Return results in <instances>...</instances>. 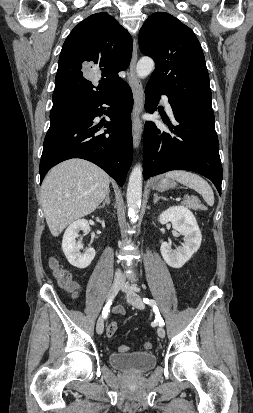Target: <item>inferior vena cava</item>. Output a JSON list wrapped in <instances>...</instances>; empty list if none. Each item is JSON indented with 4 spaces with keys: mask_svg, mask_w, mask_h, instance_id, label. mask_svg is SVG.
Listing matches in <instances>:
<instances>
[{
    "mask_svg": "<svg viewBox=\"0 0 253 413\" xmlns=\"http://www.w3.org/2000/svg\"><path fill=\"white\" fill-rule=\"evenodd\" d=\"M121 276V272L118 270L117 272H116V277H120Z\"/></svg>",
    "mask_w": 253,
    "mask_h": 413,
    "instance_id": "inferior-vena-cava-1",
    "label": "inferior vena cava"
}]
</instances>
